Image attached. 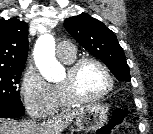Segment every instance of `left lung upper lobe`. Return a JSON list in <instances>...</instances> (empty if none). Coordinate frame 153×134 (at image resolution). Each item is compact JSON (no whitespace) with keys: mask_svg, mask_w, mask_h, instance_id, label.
Returning a JSON list of instances; mask_svg holds the SVG:
<instances>
[{"mask_svg":"<svg viewBox=\"0 0 153 134\" xmlns=\"http://www.w3.org/2000/svg\"><path fill=\"white\" fill-rule=\"evenodd\" d=\"M71 36L94 56L102 60L120 81H130V70L116 35L102 22L86 13L64 21Z\"/></svg>","mask_w":153,"mask_h":134,"instance_id":"1","label":"left lung upper lobe"}]
</instances>
